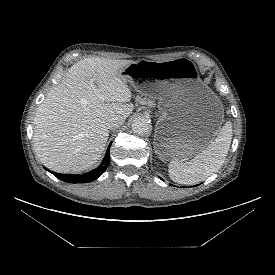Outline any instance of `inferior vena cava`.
Segmentation results:
<instances>
[{
  "label": "inferior vena cava",
  "mask_w": 275,
  "mask_h": 275,
  "mask_svg": "<svg viewBox=\"0 0 275 275\" xmlns=\"http://www.w3.org/2000/svg\"><path fill=\"white\" fill-rule=\"evenodd\" d=\"M124 122V118L120 115H112L106 121V127L108 129H116L120 127Z\"/></svg>",
  "instance_id": "1"
}]
</instances>
